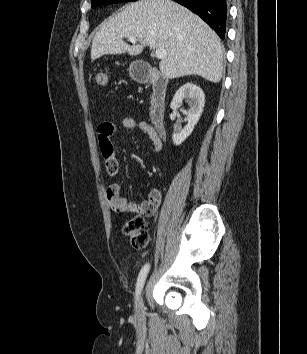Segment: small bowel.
I'll use <instances>...</instances> for the list:
<instances>
[{"label": "small bowel", "mask_w": 307, "mask_h": 354, "mask_svg": "<svg viewBox=\"0 0 307 354\" xmlns=\"http://www.w3.org/2000/svg\"><path fill=\"white\" fill-rule=\"evenodd\" d=\"M125 129H137L145 133L152 141L154 150L159 152L163 147V137L159 135L155 127L146 121H138L134 118L126 117L121 122ZM115 123L111 121L102 122L98 127L99 142L102 156L105 162V168L110 176H116L119 171V161L116 157L113 144L111 142V136L116 131ZM102 142H107L108 145L102 146ZM106 195L112 208L119 206L130 213H141L146 216H152L157 211L161 202V193L157 189H152L149 192L148 199L140 204H137L131 200L123 198L121 196V186L117 182L111 183L107 190Z\"/></svg>", "instance_id": "c3829d8e"}]
</instances>
